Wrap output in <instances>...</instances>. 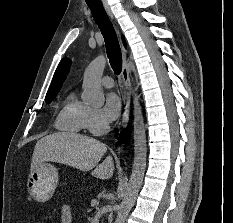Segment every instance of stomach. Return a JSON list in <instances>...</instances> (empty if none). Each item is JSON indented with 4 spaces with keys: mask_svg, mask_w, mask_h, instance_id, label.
I'll use <instances>...</instances> for the list:
<instances>
[{
    "mask_svg": "<svg viewBox=\"0 0 233 223\" xmlns=\"http://www.w3.org/2000/svg\"><path fill=\"white\" fill-rule=\"evenodd\" d=\"M59 183L57 167L49 161H41L30 171L27 179V189L30 197L35 201H48L53 197Z\"/></svg>",
    "mask_w": 233,
    "mask_h": 223,
    "instance_id": "1",
    "label": "stomach"
}]
</instances>
